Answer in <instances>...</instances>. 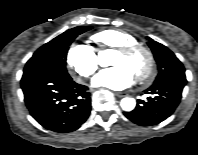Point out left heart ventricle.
Listing matches in <instances>:
<instances>
[{
    "instance_id": "1",
    "label": "left heart ventricle",
    "mask_w": 198,
    "mask_h": 155,
    "mask_svg": "<svg viewBox=\"0 0 198 155\" xmlns=\"http://www.w3.org/2000/svg\"><path fill=\"white\" fill-rule=\"evenodd\" d=\"M147 59L142 52H135L131 55H124L119 52H116L113 65H126L134 75H137L139 72L144 70L146 67Z\"/></svg>"
}]
</instances>
